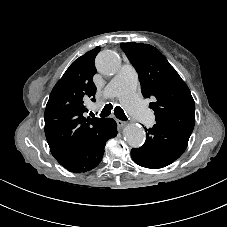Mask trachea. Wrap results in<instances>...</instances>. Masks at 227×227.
Listing matches in <instances>:
<instances>
[{
    "label": "trachea",
    "instance_id": "trachea-1",
    "mask_svg": "<svg viewBox=\"0 0 227 227\" xmlns=\"http://www.w3.org/2000/svg\"><path fill=\"white\" fill-rule=\"evenodd\" d=\"M112 104H107L104 106L103 110L100 112L99 116L100 117H107L111 114V110H112ZM90 115L92 116L93 113L90 112ZM114 115L120 119V120H123V121H126L128 118L126 117L124 111L121 109V107L119 106H116L114 108ZM94 116V115H93Z\"/></svg>",
    "mask_w": 227,
    "mask_h": 227
}]
</instances>
